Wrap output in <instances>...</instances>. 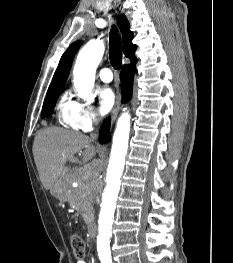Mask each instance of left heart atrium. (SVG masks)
Masks as SVG:
<instances>
[{
	"label": "left heart atrium",
	"instance_id": "1",
	"mask_svg": "<svg viewBox=\"0 0 233 263\" xmlns=\"http://www.w3.org/2000/svg\"><path fill=\"white\" fill-rule=\"evenodd\" d=\"M115 105V94L109 87H103L99 91V112L102 115L107 114Z\"/></svg>",
	"mask_w": 233,
	"mask_h": 263
}]
</instances>
